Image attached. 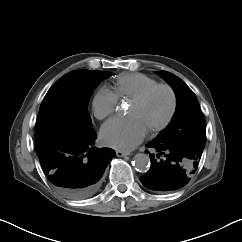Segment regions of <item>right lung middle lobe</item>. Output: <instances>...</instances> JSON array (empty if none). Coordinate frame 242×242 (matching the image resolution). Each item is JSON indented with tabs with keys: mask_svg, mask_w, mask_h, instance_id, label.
Instances as JSON below:
<instances>
[{
	"mask_svg": "<svg viewBox=\"0 0 242 242\" xmlns=\"http://www.w3.org/2000/svg\"><path fill=\"white\" fill-rule=\"evenodd\" d=\"M112 73L76 70L60 78L47 92L36 121V140L53 132L93 130L88 102L96 86Z\"/></svg>",
	"mask_w": 242,
	"mask_h": 242,
	"instance_id": "1",
	"label": "right lung middle lobe"
}]
</instances>
